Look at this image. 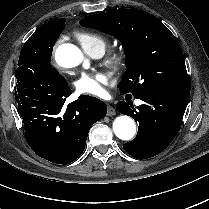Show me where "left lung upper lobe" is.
I'll list each match as a JSON object with an SVG mask.
<instances>
[{
  "label": "left lung upper lobe",
  "mask_w": 209,
  "mask_h": 209,
  "mask_svg": "<svg viewBox=\"0 0 209 209\" xmlns=\"http://www.w3.org/2000/svg\"><path fill=\"white\" fill-rule=\"evenodd\" d=\"M85 27L118 38L126 55V72L118 84L121 93L135 97L152 89L190 94L182 49L164 24L148 12L135 9L116 10L86 16Z\"/></svg>",
  "instance_id": "left-lung-upper-lobe-1"
}]
</instances>
